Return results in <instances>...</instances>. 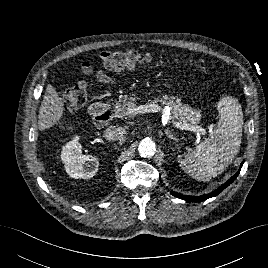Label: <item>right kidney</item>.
<instances>
[{
    "label": "right kidney",
    "instance_id": "right-kidney-1",
    "mask_svg": "<svg viewBox=\"0 0 268 268\" xmlns=\"http://www.w3.org/2000/svg\"><path fill=\"white\" fill-rule=\"evenodd\" d=\"M79 138L76 135L63 146L61 160L65 164L66 172L70 177L91 179L98 171L99 160L92 155H82V147L78 142Z\"/></svg>",
    "mask_w": 268,
    "mask_h": 268
}]
</instances>
